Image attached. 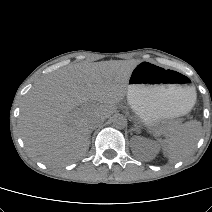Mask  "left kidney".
<instances>
[{
	"label": "left kidney",
	"instance_id": "5707ae66",
	"mask_svg": "<svg viewBox=\"0 0 212 212\" xmlns=\"http://www.w3.org/2000/svg\"><path fill=\"white\" fill-rule=\"evenodd\" d=\"M132 140L136 143L134 153L137 157L148 160L156 156L158 145L154 141L139 136L132 138Z\"/></svg>",
	"mask_w": 212,
	"mask_h": 212
}]
</instances>
